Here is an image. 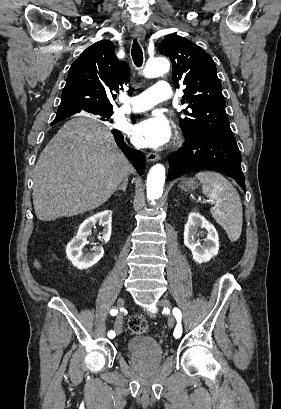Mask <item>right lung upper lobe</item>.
Returning a JSON list of instances; mask_svg holds the SVG:
<instances>
[{"label":"right lung upper lobe","instance_id":"obj_1","mask_svg":"<svg viewBox=\"0 0 281 409\" xmlns=\"http://www.w3.org/2000/svg\"><path fill=\"white\" fill-rule=\"evenodd\" d=\"M129 78V66L114 55V45L101 40L88 47L71 65L58 112L112 111L110 92Z\"/></svg>","mask_w":281,"mask_h":409}]
</instances>
